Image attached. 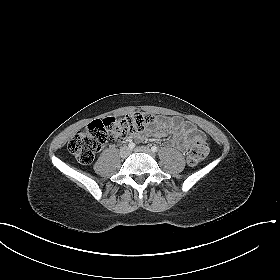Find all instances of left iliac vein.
Here are the masks:
<instances>
[{"label": "left iliac vein", "mask_w": 280, "mask_h": 280, "mask_svg": "<svg viewBox=\"0 0 280 280\" xmlns=\"http://www.w3.org/2000/svg\"><path fill=\"white\" fill-rule=\"evenodd\" d=\"M136 152H143L146 153L152 157H154V153L148 148V147H138L135 149Z\"/></svg>", "instance_id": "obj_1"}]
</instances>
